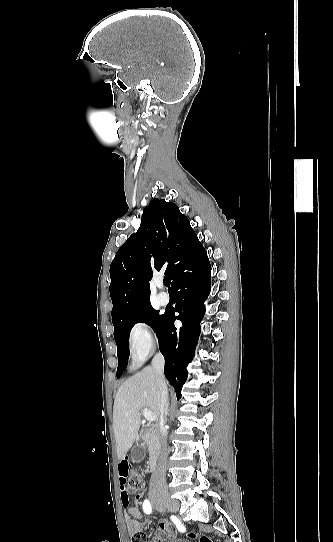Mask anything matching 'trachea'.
I'll return each instance as SVG.
<instances>
[{"label": "trachea", "instance_id": "obj_1", "mask_svg": "<svg viewBox=\"0 0 333 542\" xmlns=\"http://www.w3.org/2000/svg\"><path fill=\"white\" fill-rule=\"evenodd\" d=\"M164 285H166V287L170 288L169 287V279H167V278L164 279Z\"/></svg>", "mask_w": 333, "mask_h": 542}]
</instances>
